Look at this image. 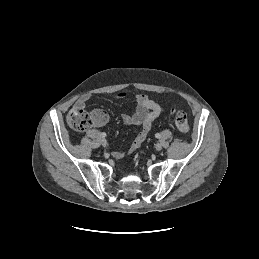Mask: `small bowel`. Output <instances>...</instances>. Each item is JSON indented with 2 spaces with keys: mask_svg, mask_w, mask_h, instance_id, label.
<instances>
[{
  "mask_svg": "<svg viewBox=\"0 0 259 259\" xmlns=\"http://www.w3.org/2000/svg\"><path fill=\"white\" fill-rule=\"evenodd\" d=\"M118 97H124L125 93L117 94ZM88 97L83 96L77 102L76 106L84 107ZM163 112V108L161 105L156 103L155 101L151 100L145 95H137L136 96V110L133 114H124L122 115V121L126 125H133L140 127V131L137 133L136 137L134 138L128 153H132L144 142L146 139L149 131L151 130L154 121L156 118ZM93 120L95 126H103L108 121V114L103 109H95L93 111ZM113 156L116 159H120L124 156L123 151H115Z\"/></svg>",
  "mask_w": 259,
  "mask_h": 259,
  "instance_id": "c3829d8e",
  "label": "small bowel"
}]
</instances>
